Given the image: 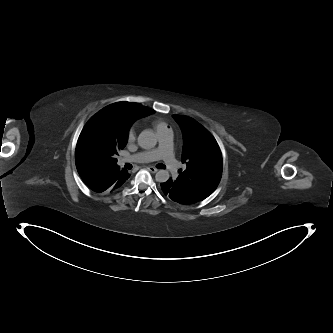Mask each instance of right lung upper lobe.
Listing matches in <instances>:
<instances>
[{
    "mask_svg": "<svg viewBox=\"0 0 333 333\" xmlns=\"http://www.w3.org/2000/svg\"><path fill=\"white\" fill-rule=\"evenodd\" d=\"M109 111L111 115L122 121L125 127L130 128L133 122L139 118L146 117L155 111L138 103L131 102H117L104 108ZM115 165L106 166L99 170L104 173L105 171L116 167Z\"/></svg>",
    "mask_w": 333,
    "mask_h": 333,
    "instance_id": "cb5924a9",
    "label": "right lung upper lobe"
}]
</instances>
